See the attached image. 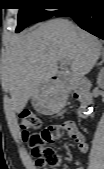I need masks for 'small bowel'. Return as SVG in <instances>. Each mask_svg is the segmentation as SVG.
I'll use <instances>...</instances> for the list:
<instances>
[{"mask_svg":"<svg viewBox=\"0 0 104 169\" xmlns=\"http://www.w3.org/2000/svg\"><path fill=\"white\" fill-rule=\"evenodd\" d=\"M62 125L64 127L65 133H67L76 143L78 150L82 153H86L89 149V146L84 134L77 128L76 123L74 121H64ZM78 169H85V168L81 167Z\"/></svg>","mask_w":104,"mask_h":169,"instance_id":"obj_1","label":"small bowel"}]
</instances>
